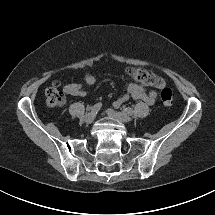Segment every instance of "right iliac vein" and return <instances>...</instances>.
<instances>
[{"label": "right iliac vein", "mask_w": 215, "mask_h": 215, "mask_svg": "<svg viewBox=\"0 0 215 215\" xmlns=\"http://www.w3.org/2000/svg\"><path fill=\"white\" fill-rule=\"evenodd\" d=\"M95 116H96V113L94 112H89L87 113L85 116H84V122L87 123V124H90L94 121L95 119Z\"/></svg>", "instance_id": "right-iliac-vein-1"}]
</instances>
